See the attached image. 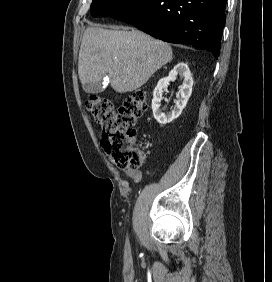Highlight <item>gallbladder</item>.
I'll use <instances>...</instances> for the list:
<instances>
[{"mask_svg": "<svg viewBox=\"0 0 272 282\" xmlns=\"http://www.w3.org/2000/svg\"><path fill=\"white\" fill-rule=\"evenodd\" d=\"M83 89L87 93H101L104 90L102 80L94 83H87L83 85Z\"/></svg>", "mask_w": 272, "mask_h": 282, "instance_id": "obj_1", "label": "gallbladder"}]
</instances>
